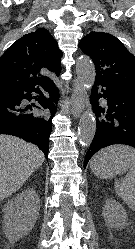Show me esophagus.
I'll list each match as a JSON object with an SVG mask.
<instances>
[{
  "mask_svg": "<svg viewBox=\"0 0 135 249\" xmlns=\"http://www.w3.org/2000/svg\"><path fill=\"white\" fill-rule=\"evenodd\" d=\"M84 109V90L80 83L75 80L73 83V92L70 101L69 112L77 119Z\"/></svg>",
  "mask_w": 135,
  "mask_h": 249,
  "instance_id": "1",
  "label": "esophagus"
}]
</instances>
